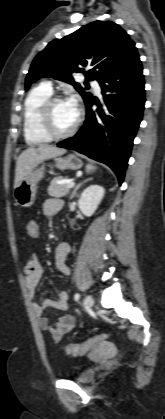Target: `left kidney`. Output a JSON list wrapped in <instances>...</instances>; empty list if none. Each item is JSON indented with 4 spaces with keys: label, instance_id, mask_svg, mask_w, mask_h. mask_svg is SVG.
Listing matches in <instances>:
<instances>
[{
    "label": "left kidney",
    "instance_id": "obj_1",
    "mask_svg": "<svg viewBox=\"0 0 165 419\" xmlns=\"http://www.w3.org/2000/svg\"><path fill=\"white\" fill-rule=\"evenodd\" d=\"M104 194V188L99 185H90L84 189L78 201L81 212L85 216H92L102 201Z\"/></svg>",
    "mask_w": 165,
    "mask_h": 419
}]
</instances>
